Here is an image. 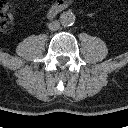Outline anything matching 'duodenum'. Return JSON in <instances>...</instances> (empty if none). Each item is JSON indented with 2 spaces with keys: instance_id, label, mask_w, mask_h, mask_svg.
<instances>
[{
  "instance_id": "410a0bca",
  "label": "duodenum",
  "mask_w": 128,
  "mask_h": 128,
  "mask_svg": "<svg viewBox=\"0 0 128 128\" xmlns=\"http://www.w3.org/2000/svg\"><path fill=\"white\" fill-rule=\"evenodd\" d=\"M70 5V0H58L54 3L48 11L49 17H54L59 12L65 10Z\"/></svg>"
}]
</instances>
